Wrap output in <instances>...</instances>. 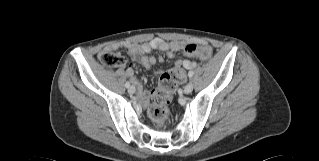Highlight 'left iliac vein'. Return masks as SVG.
I'll return each mask as SVG.
<instances>
[{
  "label": "left iliac vein",
  "instance_id": "left-iliac-vein-1",
  "mask_svg": "<svg viewBox=\"0 0 319 161\" xmlns=\"http://www.w3.org/2000/svg\"><path fill=\"white\" fill-rule=\"evenodd\" d=\"M193 83L189 82L185 87H184V93L185 94H190L193 90Z\"/></svg>",
  "mask_w": 319,
  "mask_h": 161
}]
</instances>
